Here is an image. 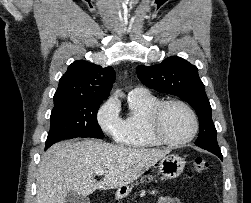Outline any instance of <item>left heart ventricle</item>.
I'll use <instances>...</instances> for the list:
<instances>
[{"label":"left heart ventricle","mask_w":251,"mask_h":203,"mask_svg":"<svg viewBox=\"0 0 251 203\" xmlns=\"http://www.w3.org/2000/svg\"><path fill=\"white\" fill-rule=\"evenodd\" d=\"M193 122L187 110L177 104L166 107L161 120L162 132L169 138L180 140L192 131Z\"/></svg>","instance_id":"1"}]
</instances>
